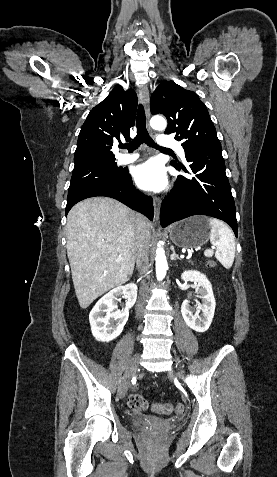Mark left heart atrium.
<instances>
[{
	"label": "left heart atrium",
	"mask_w": 277,
	"mask_h": 477,
	"mask_svg": "<svg viewBox=\"0 0 277 477\" xmlns=\"http://www.w3.org/2000/svg\"><path fill=\"white\" fill-rule=\"evenodd\" d=\"M134 180L144 190L159 191L167 183L163 166L157 160H149L134 170Z\"/></svg>",
	"instance_id": "left-heart-atrium-1"
}]
</instances>
